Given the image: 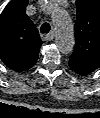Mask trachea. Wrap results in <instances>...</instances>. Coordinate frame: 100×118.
<instances>
[{
  "label": "trachea",
  "instance_id": "3493384b",
  "mask_svg": "<svg viewBox=\"0 0 100 118\" xmlns=\"http://www.w3.org/2000/svg\"><path fill=\"white\" fill-rule=\"evenodd\" d=\"M51 30V26L48 23H43L40 27L41 33H49Z\"/></svg>",
  "mask_w": 100,
  "mask_h": 118
}]
</instances>
